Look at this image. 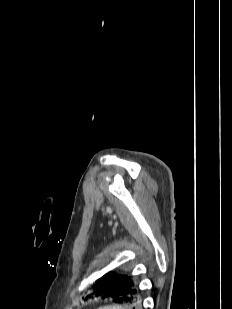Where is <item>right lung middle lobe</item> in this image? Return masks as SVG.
I'll use <instances>...</instances> for the list:
<instances>
[{"instance_id": "right-lung-middle-lobe-1", "label": "right lung middle lobe", "mask_w": 232, "mask_h": 309, "mask_svg": "<svg viewBox=\"0 0 232 309\" xmlns=\"http://www.w3.org/2000/svg\"><path fill=\"white\" fill-rule=\"evenodd\" d=\"M126 276L117 275L113 272H109L101 277L95 284L94 289L102 286H110L113 284L118 278H125Z\"/></svg>"}]
</instances>
